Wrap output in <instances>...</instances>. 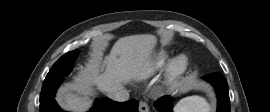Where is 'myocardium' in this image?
<instances>
[{"label": "myocardium", "instance_id": "obj_1", "mask_svg": "<svg viewBox=\"0 0 270 112\" xmlns=\"http://www.w3.org/2000/svg\"><path fill=\"white\" fill-rule=\"evenodd\" d=\"M189 60L187 56L181 54L174 57L167 65L164 82L166 84H171L179 79L188 69Z\"/></svg>", "mask_w": 270, "mask_h": 112}]
</instances>
